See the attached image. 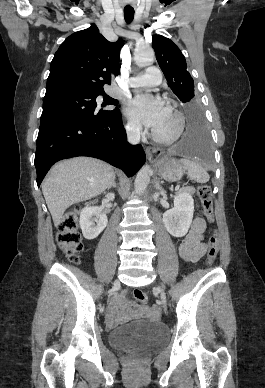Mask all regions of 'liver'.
<instances>
[{
	"mask_svg": "<svg viewBox=\"0 0 265 388\" xmlns=\"http://www.w3.org/2000/svg\"><path fill=\"white\" fill-rule=\"evenodd\" d=\"M113 178L112 166L94 158H72L55 164L41 184L55 228L69 206L103 194Z\"/></svg>",
	"mask_w": 265,
	"mask_h": 388,
	"instance_id": "1",
	"label": "liver"
}]
</instances>
